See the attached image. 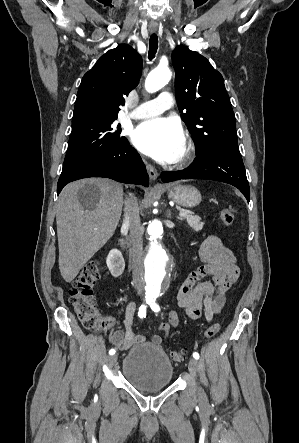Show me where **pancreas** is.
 <instances>
[{
  "label": "pancreas",
  "instance_id": "pancreas-1",
  "mask_svg": "<svg viewBox=\"0 0 299 443\" xmlns=\"http://www.w3.org/2000/svg\"><path fill=\"white\" fill-rule=\"evenodd\" d=\"M180 211L185 212L187 215L185 216L186 220H187V224L194 229L195 231H200L203 229L204 223L201 222V218L197 215H194L191 211L189 210H184L179 208Z\"/></svg>",
  "mask_w": 299,
  "mask_h": 443
}]
</instances>
